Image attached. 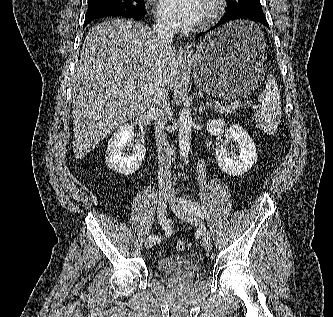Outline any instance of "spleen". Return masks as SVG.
<instances>
[{
	"mask_svg": "<svg viewBox=\"0 0 333 317\" xmlns=\"http://www.w3.org/2000/svg\"><path fill=\"white\" fill-rule=\"evenodd\" d=\"M255 30L261 32L257 26ZM258 102L260 109L254 113L256 124L267 134H273L281 118L280 92L274 77L268 78L265 89L258 96Z\"/></svg>",
	"mask_w": 333,
	"mask_h": 317,
	"instance_id": "1",
	"label": "spleen"
}]
</instances>
